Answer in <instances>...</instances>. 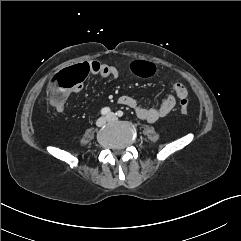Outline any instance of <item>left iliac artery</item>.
Here are the masks:
<instances>
[{
  "instance_id": "obj_1",
  "label": "left iliac artery",
  "mask_w": 241,
  "mask_h": 241,
  "mask_svg": "<svg viewBox=\"0 0 241 241\" xmlns=\"http://www.w3.org/2000/svg\"><path fill=\"white\" fill-rule=\"evenodd\" d=\"M116 115H117L118 117H122V116H123V112H122L121 110H118V111L116 112Z\"/></svg>"
}]
</instances>
